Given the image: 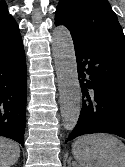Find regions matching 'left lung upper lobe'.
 I'll use <instances>...</instances> for the list:
<instances>
[{"instance_id":"1","label":"left lung upper lobe","mask_w":125,"mask_h":167,"mask_svg":"<svg viewBox=\"0 0 125 167\" xmlns=\"http://www.w3.org/2000/svg\"><path fill=\"white\" fill-rule=\"evenodd\" d=\"M55 23L66 26L73 39L112 38L125 45V37L107 0H60Z\"/></svg>"}]
</instances>
